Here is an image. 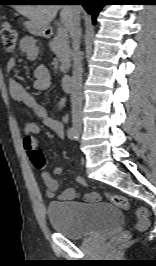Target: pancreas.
Instances as JSON below:
<instances>
[{"label":"pancreas","instance_id":"cf45deb5","mask_svg":"<svg viewBox=\"0 0 156 266\" xmlns=\"http://www.w3.org/2000/svg\"><path fill=\"white\" fill-rule=\"evenodd\" d=\"M49 47L59 59L60 71L66 73L71 66L72 51L69 46L68 37L55 36L50 42Z\"/></svg>","mask_w":156,"mask_h":266}]
</instances>
